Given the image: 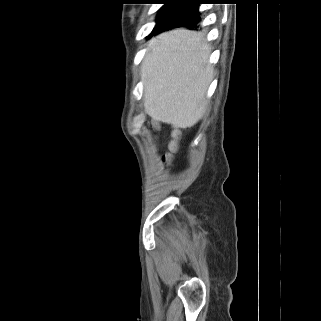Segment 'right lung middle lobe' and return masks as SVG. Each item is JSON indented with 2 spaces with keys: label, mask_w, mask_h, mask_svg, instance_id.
<instances>
[{
  "label": "right lung middle lobe",
  "mask_w": 321,
  "mask_h": 321,
  "mask_svg": "<svg viewBox=\"0 0 321 321\" xmlns=\"http://www.w3.org/2000/svg\"><path fill=\"white\" fill-rule=\"evenodd\" d=\"M176 6L173 4H166L161 7V9L158 12V15L156 17V26L160 23V21L163 19V17L170 12L172 9H174Z\"/></svg>",
  "instance_id": "right-lung-middle-lobe-1"
}]
</instances>
